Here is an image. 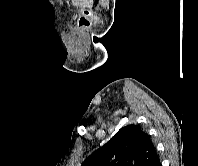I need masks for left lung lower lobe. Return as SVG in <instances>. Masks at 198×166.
<instances>
[{
    "mask_svg": "<svg viewBox=\"0 0 198 166\" xmlns=\"http://www.w3.org/2000/svg\"><path fill=\"white\" fill-rule=\"evenodd\" d=\"M150 166H162L158 155L155 157Z\"/></svg>",
    "mask_w": 198,
    "mask_h": 166,
    "instance_id": "left-lung-lower-lobe-1",
    "label": "left lung lower lobe"
}]
</instances>
